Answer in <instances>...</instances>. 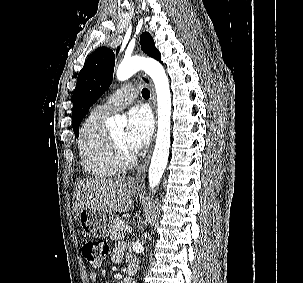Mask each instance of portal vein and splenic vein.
Returning <instances> with one entry per match:
<instances>
[{
    "instance_id": "obj_1",
    "label": "portal vein and splenic vein",
    "mask_w": 303,
    "mask_h": 283,
    "mask_svg": "<svg viewBox=\"0 0 303 283\" xmlns=\"http://www.w3.org/2000/svg\"><path fill=\"white\" fill-rule=\"evenodd\" d=\"M120 224H123V222H121ZM125 232L127 233H131L132 232V228L130 226H126L124 229Z\"/></svg>"
}]
</instances>
